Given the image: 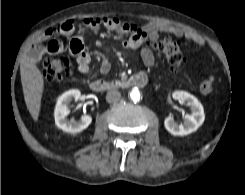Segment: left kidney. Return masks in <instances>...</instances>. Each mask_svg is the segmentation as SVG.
<instances>
[{
	"instance_id": "left-kidney-1",
	"label": "left kidney",
	"mask_w": 245,
	"mask_h": 195,
	"mask_svg": "<svg viewBox=\"0 0 245 195\" xmlns=\"http://www.w3.org/2000/svg\"><path fill=\"white\" fill-rule=\"evenodd\" d=\"M172 96L190 107L191 114L184 116L183 124L176 123L172 116H168L164 121L166 130L175 136H185L196 131L205 120L202 104L195 96L184 91H175Z\"/></svg>"
}]
</instances>
